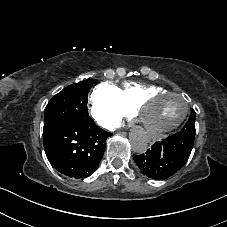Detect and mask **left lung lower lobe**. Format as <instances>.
I'll return each instance as SVG.
<instances>
[{
	"instance_id": "0a47b994",
	"label": "left lung lower lobe",
	"mask_w": 227,
	"mask_h": 227,
	"mask_svg": "<svg viewBox=\"0 0 227 227\" xmlns=\"http://www.w3.org/2000/svg\"><path fill=\"white\" fill-rule=\"evenodd\" d=\"M194 136L176 133L156 142L145 154L133 155L142 174L153 179H167L174 175L188 160Z\"/></svg>"
}]
</instances>
